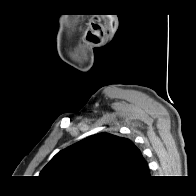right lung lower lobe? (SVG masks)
<instances>
[{"mask_svg": "<svg viewBox=\"0 0 196 196\" xmlns=\"http://www.w3.org/2000/svg\"><path fill=\"white\" fill-rule=\"evenodd\" d=\"M141 182V181H140ZM140 182L134 183V184H127V185H122L121 187H132L138 185Z\"/></svg>", "mask_w": 196, "mask_h": 196, "instance_id": "obj_1", "label": "right lung lower lobe"}]
</instances>
